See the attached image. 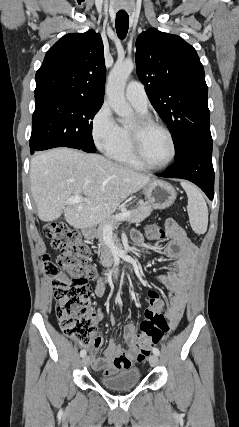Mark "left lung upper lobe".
<instances>
[{
  "label": "left lung upper lobe",
  "instance_id": "left-lung-upper-lobe-1",
  "mask_svg": "<svg viewBox=\"0 0 239 427\" xmlns=\"http://www.w3.org/2000/svg\"><path fill=\"white\" fill-rule=\"evenodd\" d=\"M136 70L170 129L176 154L193 140L211 139L204 69L191 45L149 28L136 41Z\"/></svg>",
  "mask_w": 239,
  "mask_h": 427
}]
</instances>
